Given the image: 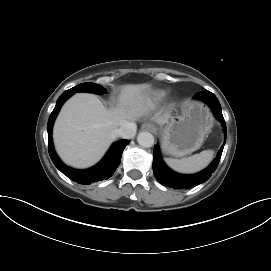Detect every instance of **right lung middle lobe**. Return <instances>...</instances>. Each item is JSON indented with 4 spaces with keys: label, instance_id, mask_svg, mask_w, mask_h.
Masks as SVG:
<instances>
[{
    "label": "right lung middle lobe",
    "instance_id": "1",
    "mask_svg": "<svg viewBox=\"0 0 271 271\" xmlns=\"http://www.w3.org/2000/svg\"><path fill=\"white\" fill-rule=\"evenodd\" d=\"M66 92H69L72 94L76 92H92L95 94H104L106 93V89L95 83H82L67 90Z\"/></svg>",
    "mask_w": 271,
    "mask_h": 271
}]
</instances>
